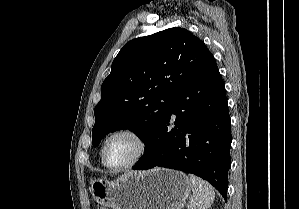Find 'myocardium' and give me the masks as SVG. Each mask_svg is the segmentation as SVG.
<instances>
[{
	"label": "myocardium",
	"instance_id": "myocardium-1",
	"mask_svg": "<svg viewBox=\"0 0 299 209\" xmlns=\"http://www.w3.org/2000/svg\"><path fill=\"white\" fill-rule=\"evenodd\" d=\"M121 135L129 136L136 141L137 146H138L137 152H136L135 156L128 163L121 165V166H110L106 161L107 147L113 138H115L117 136H121ZM148 147H149L148 141H147L146 137L140 131L133 129V128L119 129V130L113 132L112 134H110L108 136V138L106 139V141L103 145V148H102V153H101L102 163L106 168L113 170V171H121V170L129 169V168L137 165L145 157V155L148 151Z\"/></svg>",
	"mask_w": 299,
	"mask_h": 209
}]
</instances>
